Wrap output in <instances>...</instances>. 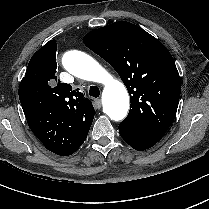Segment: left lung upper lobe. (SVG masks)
Returning <instances> with one entry per match:
<instances>
[{
    "mask_svg": "<svg viewBox=\"0 0 209 209\" xmlns=\"http://www.w3.org/2000/svg\"><path fill=\"white\" fill-rule=\"evenodd\" d=\"M84 44L119 74L131 100L119 126L158 142L175 119L181 82L166 47L142 28L119 21L85 35Z\"/></svg>",
    "mask_w": 209,
    "mask_h": 209,
    "instance_id": "5c2ea615",
    "label": "left lung upper lobe"
}]
</instances>
